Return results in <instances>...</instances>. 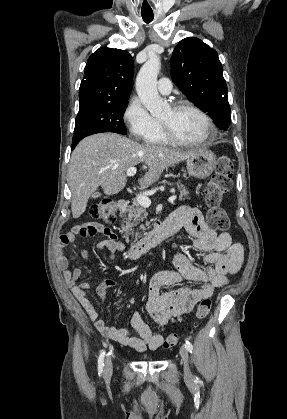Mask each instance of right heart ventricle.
Returning a JSON list of instances; mask_svg holds the SVG:
<instances>
[{
    "label": "right heart ventricle",
    "instance_id": "e07e8e85",
    "mask_svg": "<svg viewBox=\"0 0 287 419\" xmlns=\"http://www.w3.org/2000/svg\"><path fill=\"white\" fill-rule=\"evenodd\" d=\"M146 142H148L150 144H156V145H165V144L168 143L163 136L161 126H160V129L158 130V132Z\"/></svg>",
    "mask_w": 287,
    "mask_h": 419
}]
</instances>
